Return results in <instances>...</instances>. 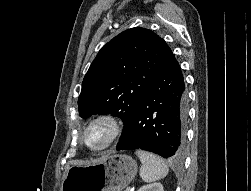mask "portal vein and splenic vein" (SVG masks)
<instances>
[{"mask_svg": "<svg viewBox=\"0 0 251 191\" xmlns=\"http://www.w3.org/2000/svg\"><path fill=\"white\" fill-rule=\"evenodd\" d=\"M125 191H130V187H129V186H126V187H125Z\"/></svg>", "mask_w": 251, "mask_h": 191, "instance_id": "portal-vein-and-splenic-vein-1", "label": "portal vein and splenic vein"}]
</instances>
